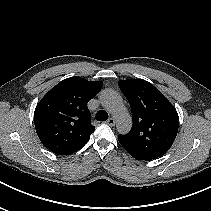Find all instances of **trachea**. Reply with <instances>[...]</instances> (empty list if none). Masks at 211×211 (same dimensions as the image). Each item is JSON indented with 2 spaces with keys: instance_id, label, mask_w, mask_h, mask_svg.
<instances>
[{
  "instance_id": "obj_1",
  "label": "trachea",
  "mask_w": 211,
  "mask_h": 211,
  "mask_svg": "<svg viewBox=\"0 0 211 211\" xmlns=\"http://www.w3.org/2000/svg\"><path fill=\"white\" fill-rule=\"evenodd\" d=\"M97 121H106L108 119V114L104 110H99L96 114Z\"/></svg>"
}]
</instances>
